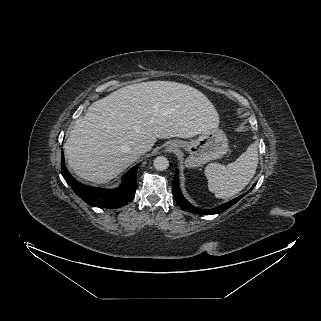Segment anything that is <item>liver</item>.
I'll return each instance as SVG.
<instances>
[{"label": "liver", "instance_id": "1", "mask_svg": "<svg viewBox=\"0 0 321 321\" xmlns=\"http://www.w3.org/2000/svg\"><path fill=\"white\" fill-rule=\"evenodd\" d=\"M219 125V116L199 90L177 82L148 81L122 87L75 121L64 152L70 168L87 181L103 184L140 158L138 144L191 138Z\"/></svg>", "mask_w": 321, "mask_h": 321}]
</instances>
